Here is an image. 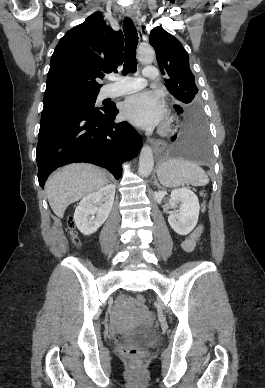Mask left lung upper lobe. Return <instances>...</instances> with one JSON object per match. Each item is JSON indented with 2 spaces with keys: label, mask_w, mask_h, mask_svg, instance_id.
Wrapping results in <instances>:
<instances>
[{
  "label": "left lung upper lobe",
  "mask_w": 265,
  "mask_h": 388,
  "mask_svg": "<svg viewBox=\"0 0 265 388\" xmlns=\"http://www.w3.org/2000/svg\"><path fill=\"white\" fill-rule=\"evenodd\" d=\"M161 73L166 76V88L188 109H201L195 77L189 67V56L182 44L162 27H155L149 36Z\"/></svg>",
  "instance_id": "5c2ea615"
}]
</instances>
